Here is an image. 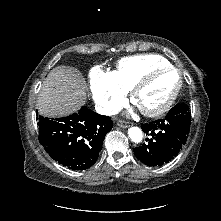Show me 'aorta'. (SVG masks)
Wrapping results in <instances>:
<instances>
[{"label": "aorta", "mask_w": 221, "mask_h": 221, "mask_svg": "<svg viewBox=\"0 0 221 221\" xmlns=\"http://www.w3.org/2000/svg\"><path fill=\"white\" fill-rule=\"evenodd\" d=\"M128 134L130 139L134 142V143H139L142 141L143 138V133L142 130L138 127H131L128 130Z\"/></svg>", "instance_id": "762f6f07"}]
</instances>
